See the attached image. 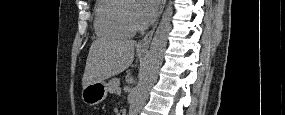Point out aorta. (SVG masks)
I'll use <instances>...</instances> for the list:
<instances>
[{"instance_id":"1","label":"aorta","mask_w":285,"mask_h":115,"mask_svg":"<svg viewBox=\"0 0 285 115\" xmlns=\"http://www.w3.org/2000/svg\"><path fill=\"white\" fill-rule=\"evenodd\" d=\"M172 14V2L169 1L152 39L148 59L140 75L139 82L132 93L129 115H137L139 113L157 79L167 45L168 33L171 28Z\"/></svg>"}]
</instances>
